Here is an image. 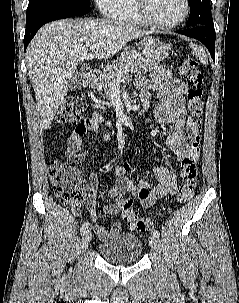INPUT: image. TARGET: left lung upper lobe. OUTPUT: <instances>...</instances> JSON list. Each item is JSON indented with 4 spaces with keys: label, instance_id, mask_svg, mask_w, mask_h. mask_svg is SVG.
I'll return each instance as SVG.
<instances>
[{
    "label": "left lung upper lobe",
    "instance_id": "5c2ea615",
    "mask_svg": "<svg viewBox=\"0 0 239 303\" xmlns=\"http://www.w3.org/2000/svg\"><path fill=\"white\" fill-rule=\"evenodd\" d=\"M190 15L187 21L189 28L196 26H213L210 0H188Z\"/></svg>",
    "mask_w": 239,
    "mask_h": 303
}]
</instances>
